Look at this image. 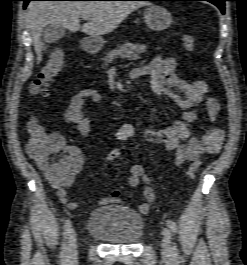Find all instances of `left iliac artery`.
I'll use <instances>...</instances> for the list:
<instances>
[{
	"mask_svg": "<svg viewBox=\"0 0 247 265\" xmlns=\"http://www.w3.org/2000/svg\"><path fill=\"white\" fill-rule=\"evenodd\" d=\"M166 222H167L168 227L171 229V231L173 233H176L177 232V225H176V223L174 221H172V220H167ZM177 252H178L177 246L174 245L172 247V254L174 256H177Z\"/></svg>",
	"mask_w": 247,
	"mask_h": 265,
	"instance_id": "obj_1",
	"label": "left iliac artery"
}]
</instances>
